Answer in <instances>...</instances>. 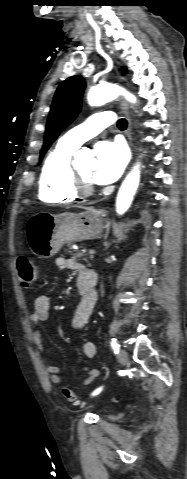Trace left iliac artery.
I'll return each mask as SVG.
<instances>
[{
    "instance_id": "left-iliac-artery-1",
    "label": "left iliac artery",
    "mask_w": 187,
    "mask_h": 479,
    "mask_svg": "<svg viewBox=\"0 0 187 479\" xmlns=\"http://www.w3.org/2000/svg\"><path fill=\"white\" fill-rule=\"evenodd\" d=\"M111 347L112 349L114 350V353L118 354L119 353V349H120V345L118 344L117 342V339L115 338H112L111 340ZM102 390V387H99L98 389H96L93 393H92V396H95L97 394H99Z\"/></svg>"
}]
</instances>
